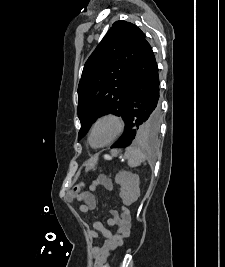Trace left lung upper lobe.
I'll return each mask as SVG.
<instances>
[{
    "label": "left lung upper lobe",
    "instance_id": "1",
    "mask_svg": "<svg viewBox=\"0 0 225 267\" xmlns=\"http://www.w3.org/2000/svg\"><path fill=\"white\" fill-rule=\"evenodd\" d=\"M145 42V34L136 25L116 21L88 58L78 86V139L100 116L112 113L124 119L132 78ZM158 130L150 121H140L135 138L152 139Z\"/></svg>",
    "mask_w": 225,
    "mask_h": 267
}]
</instances>
